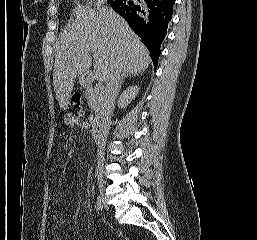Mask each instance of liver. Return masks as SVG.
<instances>
[{
    "label": "liver",
    "mask_w": 257,
    "mask_h": 240,
    "mask_svg": "<svg viewBox=\"0 0 257 240\" xmlns=\"http://www.w3.org/2000/svg\"><path fill=\"white\" fill-rule=\"evenodd\" d=\"M75 20L63 30L56 47L53 86L56 99L66 109L77 76L88 80L94 58L93 78L106 82L118 66L122 75L145 71L150 55L126 21L109 7L93 10L78 6Z\"/></svg>",
    "instance_id": "1"
}]
</instances>
